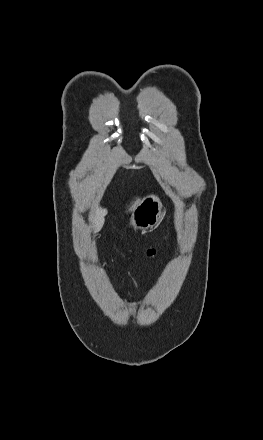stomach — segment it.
Here are the masks:
<instances>
[{
	"mask_svg": "<svg viewBox=\"0 0 263 440\" xmlns=\"http://www.w3.org/2000/svg\"><path fill=\"white\" fill-rule=\"evenodd\" d=\"M163 217V205L159 197L147 195L137 201L133 208L130 224L135 229L146 230L159 224Z\"/></svg>",
	"mask_w": 263,
	"mask_h": 440,
	"instance_id": "stomach-1",
	"label": "stomach"
}]
</instances>
